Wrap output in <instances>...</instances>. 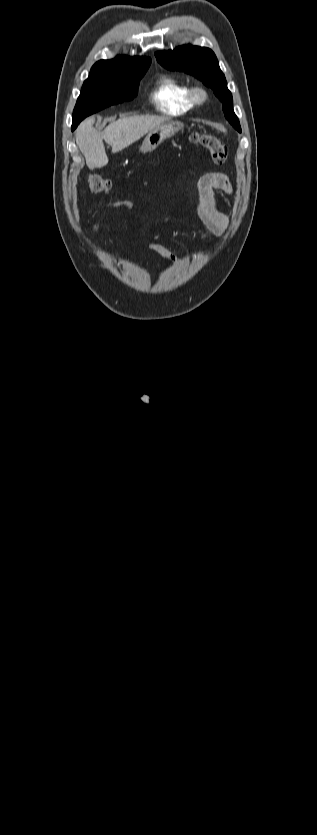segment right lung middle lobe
<instances>
[{
	"mask_svg": "<svg viewBox=\"0 0 317 835\" xmlns=\"http://www.w3.org/2000/svg\"><path fill=\"white\" fill-rule=\"evenodd\" d=\"M150 64L132 71H116L85 80L73 111L72 128L87 116L110 105L132 100Z\"/></svg>",
	"mask_w": 317,
	"mask_h": 835,
	"instance_id": "dd1d6c3e",
	"label": "right lung middle lobe"
}]
</instances>
